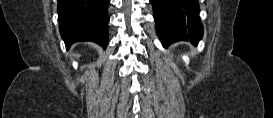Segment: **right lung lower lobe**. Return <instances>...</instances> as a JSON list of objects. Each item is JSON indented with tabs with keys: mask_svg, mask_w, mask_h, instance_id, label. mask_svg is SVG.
<instances>
[{
	"mask_svg": "<svg viewBox=\"0 0 273 118\" xmlns=\"http://www.w3.org/2000/svg\"><path fill=\"white\" fill-rule=\"evenodd\" d=\"M110 0H58L61 36L69 48L78 41L108 45L107 7Z\"/></svg>",
	"mask_w": 273,
	"mask_h": 118,
	"instance_id": "98d812e1",
	"label": "right lung lower lobe"
}]
</instances>
